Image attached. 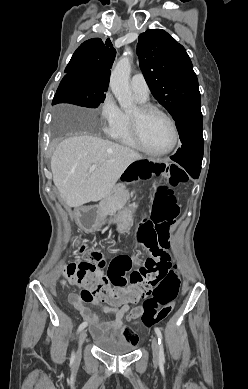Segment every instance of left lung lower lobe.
<instances>
[{"label":"left lung lower lobe","mask_w":248,"mask_h":389,"mask_svg":"<svg viewBox=\"0 0 248 389\" xmlns=\"http://www.w3.org/2000/svg\"><path fill=\"white\" fill-rule=\"evenodd\" d=\"M175 121L179 136L184 137L185 140L182 141L181 148L170 158L196 179L201 171L204 148L201 102L185 108Z\"/></svg>","instance_id":"obj_1"}]
</instances>
